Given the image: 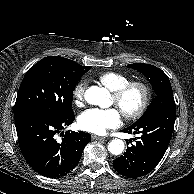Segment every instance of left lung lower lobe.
Returning <instances> with one entry per match:
<instances>
[{
  "instance_id": "left-lung-lower-lobe-1",
  "label": "left lung lower lobe",
  "mask_w": 194,
  "mask_h": 194,
  "mask_svg": "<svg viewBox=\"0 0 194 194\" xmlns=\"http://www.w3.org/2000/svg\"><path fill=\"white\" fill-rule=\"evenodd\" d=\"M176 107L161 108L143 115L122 130L138 134L136 145L127 147L121 157L113 160L118 173L128 178L146 175L161 161L169 145L175 122Z\"/></svg>"
}]
</instances>
